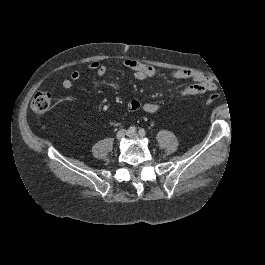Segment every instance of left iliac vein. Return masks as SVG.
<instances>
[{
	"label": "left iliac vein",
	"mask_w": 265,
	"mask_h": 265,
	"mask_svg": "<svg viewBox=\"0 0 265 265\" xmlns=\"http://www.w3.org/2000/svg\"><path fill=\"white\" fill-rule=\"evenodd\" d=\"M128 136L133 139H138L139 135L137 133H128Z\"/></svg>",
	"instance_id": "1"
}]
</instances>
